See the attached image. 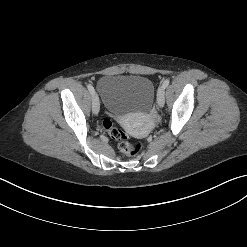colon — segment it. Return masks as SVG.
I'll return each instance as SVG.
<instances>
[{
	"mask_svg": "<svg viewBox=\"0 0 247 247\" xmlns=\"http://www.w3.org/2000/svg\"><path fill=\"white\" fill-rule=\"evenodd\" d=\"M103 128L108 132L109 136L117 142V148L123 155L133 156L140 151V143L130 140L128 135L121 129L115 127L110 119L106 118L103 120Z\"/></svg>",
	"mask_w": 247,
	"mask_h": 247,
	"instance_id": "5ec220e1",
	"label": "colon"
}]
</instances>
